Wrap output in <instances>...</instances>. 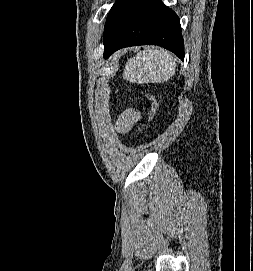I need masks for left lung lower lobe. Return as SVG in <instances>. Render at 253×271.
Masks as SVG:
<instances>
[{"mask_svg": "<svg viewBox=\"0 0 253 271\" xmlns=\"http://www.w3.org/2000/svg\"><path fill=\"white\" fill-rule=\"evenodd\" d=\"M158 45L183 60L181 26L175 12L161 0H129L111 37L104 43V58L134 45Z\"/></svg>", "mask_w": 253, "mask_h": 271, "instance_id": "1", "label": "left lung lower lobe"}]
</instances>
